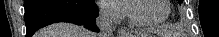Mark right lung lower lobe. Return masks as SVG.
<instances>
[{"instance_id":"obj_1","label":"right lung lower lobe","mask_w":219,"mask_h":37,"mask_svg":"<svg viewBox=\"0 0 219 37\" xmlns=\"http://www.w3.org/2000/svg\"><path fill=\"white\" fill-rule=\"evenodd\" d=\"M24 8L26 37L55 22H71L98 31L94 0H24Z\"/></svg>"}]
</instances>
